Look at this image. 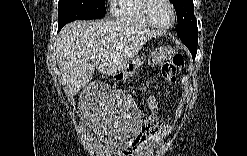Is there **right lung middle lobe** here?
I'll return each instance as SVG.
<instances>
[{"mask_svg":"<svg viewBox=\"0 0 247 156\" xmlns=\"http://www.w3.org/2000/svg\"><path fill=\"white\" fill-rule=\"evenodd\" d=\"M105 13V0H59L58 29L74 20L102 18Z\"/></svg>","mask_w":247,"mask_h":156,"instance_id":"right-lung-middle-lobe-1","label":"right lung middle lobe"}]
</instances>
